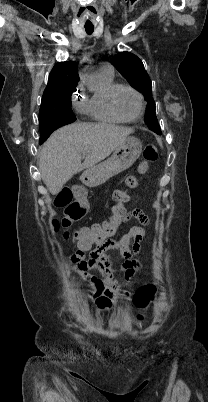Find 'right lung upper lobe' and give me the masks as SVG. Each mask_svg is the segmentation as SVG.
<instances>
[{"instance_id": "cb5924a9", "label": "right lung upper lobe", "mask_w": 208, "mask_h": 402, "mask_svg": "<svg viewBox=\"0 0 208 402\" xmlns=\"http://www.w3.org/2000/svg\"><path fill=\"white\" fill-rule=\"evenodd\" d=\"M78 81L76 62H59L49 74L48 84L42 98L51 92L75 88Z\"/></svg>"}]
</instances>
